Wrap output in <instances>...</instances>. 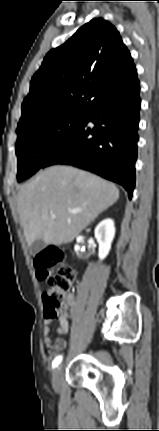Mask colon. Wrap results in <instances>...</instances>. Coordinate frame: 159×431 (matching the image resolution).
<instances>
[{"label": "colon", "mask_w": 159, "mask_h": 431, "mask_svg": "<svg viewBox=\"0 0 159 431\" xmlns=\"http://www.w3.org/2000/svg\"><path fill=\"white\" fill-rule=\"evenodd\" d=\"M63 259V252L55 247L41 250L34 258L37 277L48 278V286L43 294L44 310L48 319L55 318L63 308L66 294L75 280L73 269L61 264ZM56 267L57 272L51 275Z\"/></svg>", "instance_id": "obj_1"}]
</instances>
